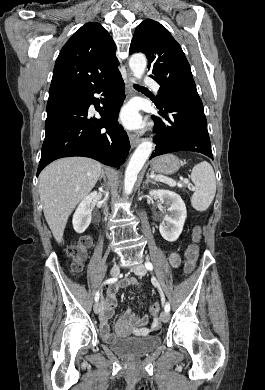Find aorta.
Wrapping results in <instances>:
<instances>
[{
	"label": "aorta",
	"instance_id": "aorta-1",
	"mask_svg": "<svg viewBox=\"0 0 265 390\" xmlns=\"http://www.w3.org/2000/svg\"><path fill=\"white\" fill-rule=\"evenodd\" d=\"M129 66L133 72V75L137 79H141L147 66L145 55L141 53L133 54L129 59ZM152 147V142L144 141L136 148L135 152L133 153L125 171V194H130L132 192L137 180L138 173L144 166L146 160L149 158L152 152Z\"/></svg>",
	"mask_w": 265,
	"mask_h": 390
}]
</instances>
